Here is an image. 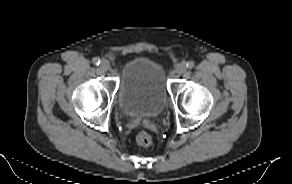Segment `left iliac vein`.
Instances as JSON below:
<instances>
[{
  "label": "left iliac vein",
  "mask_w": 292,
  "mask_h": 184,
  "mask_svg": "<svg viewBox=\"0 0 292 184\" xmlns=\"http://www.w3.org/2000/svg\"><path fill=\"white\" fill-rule=\"evenodd\" d=\"M186 69H187V67H186L185 62H180L175 67V73L182 74L186 71Z\"/></svg>",
  "instance_id": "4c4485c4"
}]
</instances>
